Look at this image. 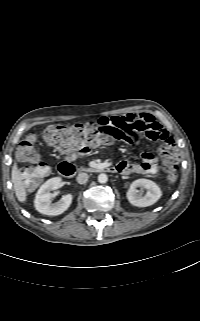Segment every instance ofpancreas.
Wrapping results in <instances>:
<instances>
[{
    "label": "pancreas",
    "mask_w": 200,
    "mask_h": 321,
    "mask_svg": "<svg viewBox=\"0 0 200 321\" xmlns=\"http://www.w3.org/2000/svg\"><path fill=\"white\" fill-rule=\"evenodd\" d=\"M80 170H84V167H80Z\"/></svg>",
    "instance_id": "obj_1"
}]
</instances>
